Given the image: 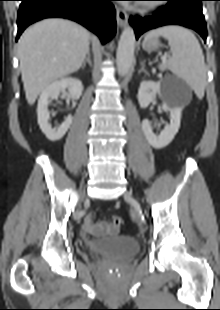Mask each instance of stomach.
I'll return each mask as SVG.
<instances>
[{"instance_id": "1", "label": "stomach", "mask_w": 220, "mask_h": 310, "mask_svg": "<svg viewBox=\"0 0 220 310\" xmlns=\"http://www.w3.org/2000/svg\"><path fill=\"white\" fill-rule=\"evenodd\" d=\"M160 45V40L157 37H153L147 40L145 39L143 42V47L149 52L158 49Z\"/></svg>"}]
</instances>
